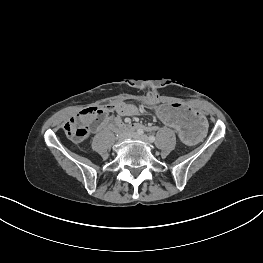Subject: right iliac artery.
Here are the masks:
<instances>
[{"mask_svg":"<svg viewBox=\"0 0 263 263\" xmlns=\"http://www.w3.org/2000/svg\"><path fill=\"white\" fill-rule=\"evenodd\" d=\"M137 133H138L139 135H141V134H143V130L138 129V130H137Z\"/></svg>","mask_w":263,"mask_h":263,"instance_id":"1","label":"right iliac artery"}]
</instances>
